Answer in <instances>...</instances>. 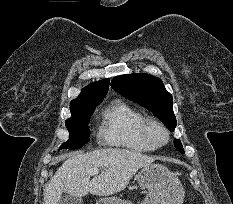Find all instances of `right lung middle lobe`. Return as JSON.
Returning <instances> with one entry per match:
<instances>
[{"label": "right lung middle lobe", "instance_id": "dd1d6c3e", "mask_svg": "<svg viewBox=\"0 0 233 204\" xmlns=\"http://www.w3.org/2000/svg\"><path fill=\"white\" fill-rule=\"evenodd\" d=\"M98 104L96 103L84 108L70 109L71 117L66 120V127L69 131L70 138L60 149H78L89 142V118L95 110V106Z\"/></svg>", "mask_w": 233, "mask_h": 204}]
</instances>
